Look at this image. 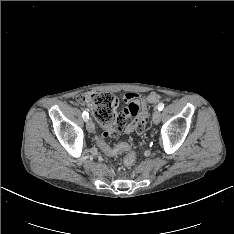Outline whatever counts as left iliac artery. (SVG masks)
<instances>
[{
	"label": "left iliac artery",
	"mask_w": 234,
	"mask_h": 234,
	"mask_svg": "<svg viewBox=\"0 0 234 234\" xmlns=\"http://www.w3.org/2000/svg\"><path fill=\"white\" fill-rule=\"evenodd\" d=\"M164 108V104L161 102L157 105V109L161 111Z\"/></svg>",
	"instance_id": "1"
}]
</instances>
